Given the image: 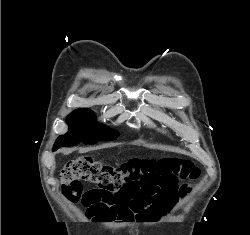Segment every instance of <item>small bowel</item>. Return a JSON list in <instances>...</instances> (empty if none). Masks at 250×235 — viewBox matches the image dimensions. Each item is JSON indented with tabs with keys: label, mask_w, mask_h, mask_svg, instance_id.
Returning <instances> with one entry per match:
<instances>
[{
	"label": "small bowel",
	"mask_w": 250,
	"mask_h": 235,
	"mask_svg": "<svg viewBox=\"0 0 250 235\" xmlns=\"http://www.w3.org/2000/svg\"><path fill=\"white\" fill-rule=\"evenodd\" d=\"M179 201V191L176 186L157 189L153 192L139 191L133 198L136 214L144 220L156 221L172 212Z\"/></svg>",
	"instance_id": "1"
}]
</instances>
